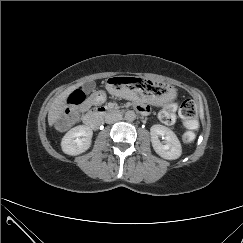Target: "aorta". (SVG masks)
<instances>
[{
    "label": "aorta",
    "instance_id": "762f6f07",
    "mask_svg": "<svg viewBox=\"0 0 243 243\" xmlns=\"http://www.w3.org/2000/svg\"><path fill=\"white\" fill-rule=\"evenodd\" d=\"M136 119V114L134 111L129 110L125 113V120L128 122L134 121Z\"/></svg>",
    "mask_w": 243,
    "mask_h": 243
}]
</instances>
